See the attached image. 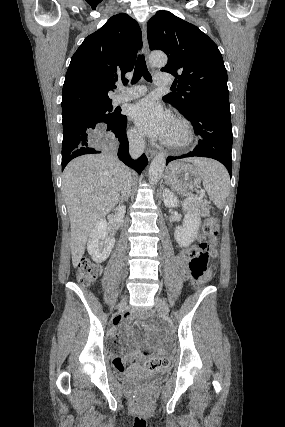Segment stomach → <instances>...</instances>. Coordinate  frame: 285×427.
Wrapping results in <instances>:
<instances>
[{"label":"stomach","instance_id":"1","mask_svg":"<svg viewBox=\"0 0 285 427\" xmlns=\"http://www.w3.org/2000/svg\"><path fill=\"white\" fill-rule=\"evenodd\" d=\"M169 184L178 192L191 191L200 183L195 167L185 162L172 163L167 170Z\"/></svg>","mask_w":285,"mask_h":427}]
</instances>
